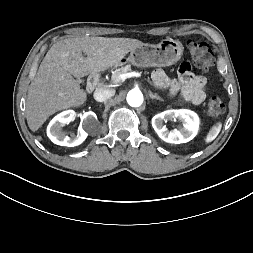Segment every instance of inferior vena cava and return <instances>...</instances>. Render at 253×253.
Instances as JSON below:
<instances>
[{"label":"inferior vena cava","mask_w":253,"mask_h":253,"mask_svg":"<svg viewBox=\"0 0 253 253\" xmlns=\"http://www.w3.org/2000/svg\"><path fill=\"white\" fill-rule=\"evenodd\" d=\"M115 92L112 89L98 88L94 92V99L98 102H104L114 96Z\"/></svg>","instance_id":"obj_1"}]
</instances>
